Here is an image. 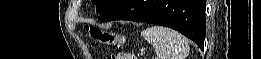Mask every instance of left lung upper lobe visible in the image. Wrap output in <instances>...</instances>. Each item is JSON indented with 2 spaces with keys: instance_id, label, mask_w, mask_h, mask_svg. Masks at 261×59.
<instances>
[{
  "instance_id": "left-lung-upper-lobe-1",
  "label": "left lung upper lobe",
  "mask_w": 261,
  "mask_h": 59,
  "mask_svg": "<svg viewBox=\"0 0 261 59\" xmlns=\"http://www.w3.org/2000/svg\"><path fill=\"white\" fill-rule=\"evenodd\" d=\"M121 0H92L93 3H96L97 12L100 15L105 14L114 6H116Z\"/></svg>"
}]
</instances>
